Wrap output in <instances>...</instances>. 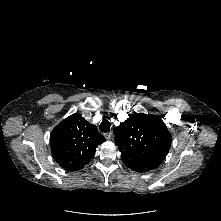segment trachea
I'll use <instances>...</instances> for the list:
<instances>
[{
    "mask_svg": "<svg viewBox=\"0 0 221 221\" xmlns=\"http://www.w3.org/2000/svg\"><path fill=\"white\" fill-rule=\"evenodd\" d=\"M101 132H109L110 130V122L108 120H103L99 126Z\"/></svg>",
    "mask_w": 221,
    "mask_h": 221,
    "instance_id": "1",
    "label": "trachea"
}]
</instances>
